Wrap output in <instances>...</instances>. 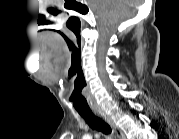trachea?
<instances>
[{
  "label": "trachea",
  "mask_w": 179,
  "mask_h": 139,
  "mask_svg": "<svg viewBox=\"0 0 179 139\" xmlns=\"http://www.w3.org/2000/svg\"><path fill=\"white\" fill-rule=\"evenodd\" d=\"M78 113L92 129L100 131L106 135L112 132L110 125L100 117L96 116L92 111H88V112L78 111Z\"/></svg>",
  "instance_id": "3493384b"
}]
</instances>
